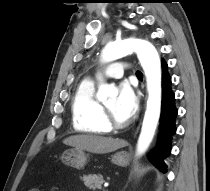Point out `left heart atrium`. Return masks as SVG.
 <instances>
[{"label": "left heart atrium", "mask_w": 210, "mask_h": 191, "mask_svg": "<svg viewBox=\"0 0 210 191\" xmlns=\"http://www.w3.org/2000/svg\"><path fill=\"white\" fill-rule=\"evenodd\" d=\"M138 108V97L133 88L127 82L119 86V94L116 102V110L126 121L129 120Z\"/></svg>", "instance_id": "1"}]
</instances>
